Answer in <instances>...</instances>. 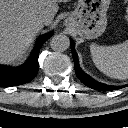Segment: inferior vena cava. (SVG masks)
<instances>
[{"mask_svg":"<svg viewBox=\"0 0 128 128\" xmlns=\"http://www.w3.org/2000/svg\"><path fill=\"white\" fill-rule=\"evenodd\" d=\"M39 20L46 23L49 20V13L47 10H42L39 14Z\"/></svg>","mask_w":128,"mask_h":128,"instance_id":"obj_1","label":"inferior vena cava"}]
</instances>
